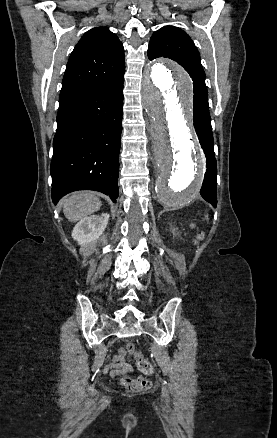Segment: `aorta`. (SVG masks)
<instances>
[{
  "mask_svg": "<svg viewBox=\"0 0 277 438\" xmlns=\"http://www.w3.org/2000/svg\"><path fill=\"white\" fill-rule=\"evenodd\" d=\"M141 96L151 118L160 170L157 197L165 206L182 207L198 195L205 172L192 126V81L181 67L157 61L143 75Z\"/></svg>",
  "mask_w": 277,
  "mask_h": 438,
  "instance_id": "aorta-1",
  "label": "aorta"
}]
</instances>
